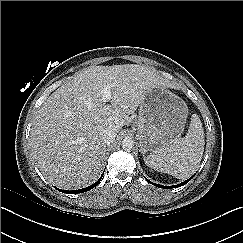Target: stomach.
Returning <instances> with one entry per match:
<instances>
[{
  "label": "stomach",
  "instance_id": "1",
  "mask_svg": "<svg viewBox=\"0 0 243 243\" xmlns=\"http://www.w3.org/2000/svg\"><path fill=\"white\" fill-rule=\"evenodd\" d=\"M187 104L164 87L150 90L140 106L137 120L142 151L153 153L170 146L184 131Z\"/></svg>",
  "mask_w": 243,
  "mask_h": 243
}]
</instances>
